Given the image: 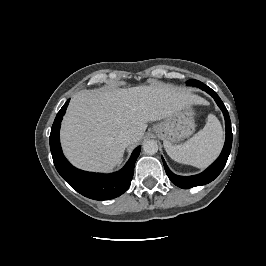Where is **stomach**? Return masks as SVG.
<instances>
[{"label": "stomach", "mask_w": 266, "mask_h": 266, "mask_svg": "<svg viewBox=\"0 0 266 266\" xmlns=\"http://www.w3.org/2000/svg\"><path fill=\"white\" fill-rule=\"evenodd\" d=\"M193 115L191 106H187L155 124L152 131L163 140L164 144L175 145L193 134L195 129Z\"/></svg>", "instance_id": "0dacf381"}]
</instances>
